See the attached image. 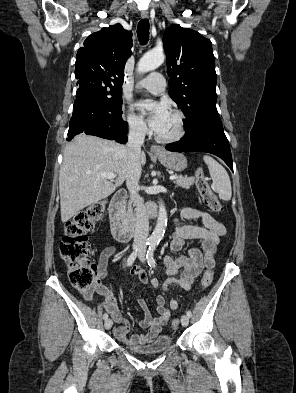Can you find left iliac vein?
Returning a JSON list of instances; mask_svg holds the SVG:
<instances>
[{"label":"left iliac vein","instance_id":"1","mask_svg":"<svg viewBox=\"0 0 296 393\" xmlns=\"http://www.w3.org/2000/svg\"><path fill=\"white\" fill-rule=\"evenodd\" d=\"M139 259L140 261L144 262L145 261V249H142L139 253ZM181 324L182 326H187L189 324V317L187 315H182L181 317Z\"/></svg>","mask_w":296,"mask_h":393}]
</instances>
